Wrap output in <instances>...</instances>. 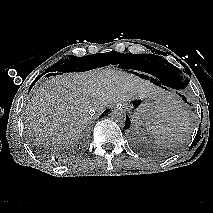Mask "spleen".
I'll return each mask as SVG.
<instances>
[{
    "label": "spleen",
    "instance_id": "1",
    "mask_svg": "<svg viewBox=\"0 0 213 213\" xmlns=\"http://www.w3.org/2000/svg\"><path fill=\"white\" fill-rule=\"evenodd\" d=\"M188 113L176 101L165 105L162 112L157 114L154 124L148 125L147 130L160 145L173 144L185 131Z\"/></svg>",
    "mask_w": 213,
    "mask_h": 213
}]
</instances>
